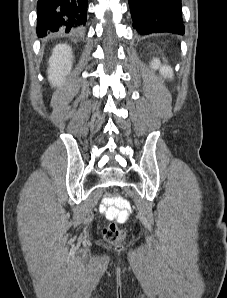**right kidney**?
Here are the masks:
<instances>
[{
    "instance_id": "right-kidney-1",
    "label": "right kidney",
    "mask_w": 227,
    "mask_h": 298,
    "mask_svg": "<svg viewBox=\"0 0 227 298\" xmlns=\"http://www.w3.org/2000/svg\"><path fill=\"white\" fill-rule=\"evenodd\" d=\"M73 63L72 48L67 44L54 47L49 59L48 78L53 86H61L64 77L68 75Z\"/></svg>"
}]
</instances>
